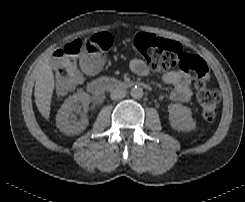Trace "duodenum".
Instances as JSON below:
<instances>
[{
    "instance_id": "duodenum-1",
    "label": "duodenum",
    "mask_w": 245,
    "mask_h": 202,
    "mask_svg": "<svg viewBox=\"0 0 245 202\" xmlns=\"http://www.w3.org/2000/svg\"><path fill=\"white\" fill-rule=\"evenodd\" d=\"M135 87L144 88V89L149 88V86L143 82H136L133 80L119 81L109 77H103L90 82L88 89L92 95L98 96L106 91L124 90V89H131Z\"/></svg>"
}]
</instances>
